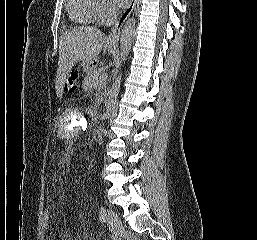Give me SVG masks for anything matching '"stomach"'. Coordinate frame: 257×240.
Here are the masks:
<instances>
[{"instance_id":"obj_1","label":"stomach","mask_w":257,"mask_h":240,"mask_svg":"<svg viewBox=\"0 0 257 240\" xmlns=\"http://www.w3.org/2000/svg\"><path fill=\"white\" fill-rule=\"evenodd\" d=\"M107 49H108L109 52H114L116 47L113 44H108L107 45ZM92 64H93V62H86V61H84L82 63V67H83L84 71L88 72V71L92 70Z\"/></svg>"}]
</instances>
